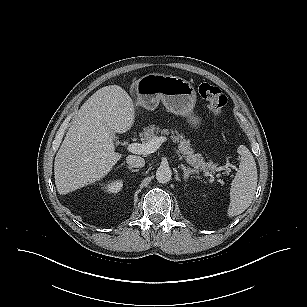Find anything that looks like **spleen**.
<instances>
[{"label":"spleen","mask_w":307,"mask_h":307,"mask_svg":"<svg viewBox=\"0 0 307 307\" xmlns=\"http://www.w3.org/2000/svg\"><path fill=\"white\" fill-rule=\"evenodd\" d=\"M237 152L240 155V165L231 183L230 204L227 211L229 217L243 213L250 206L258 179L256 163L249 149L240 145Z\"/></svg>","instance_id":"obj_1"}]
</instances>
